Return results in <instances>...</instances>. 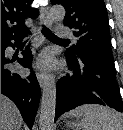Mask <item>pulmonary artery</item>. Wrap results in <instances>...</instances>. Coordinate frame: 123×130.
Returning <instances> with one entry per match:
<instances>
[{
  "instance_id": "pulmonary-artery-1",
  "label": "pulmonary artery",
  "mask_w": 123,
  "mask_h": 130,
  "mask_svg": "<svg viewBox=\"0 0 123 130\" xmlns=\"http://www.w3.org/2000/svg\"><path fill=\"white\" fill-rule=\"evenodd\" d=\"M56 35L62 39L73 38V34H72L71 30L65 26H58Z\"/></svg>"
}]
</instances>
